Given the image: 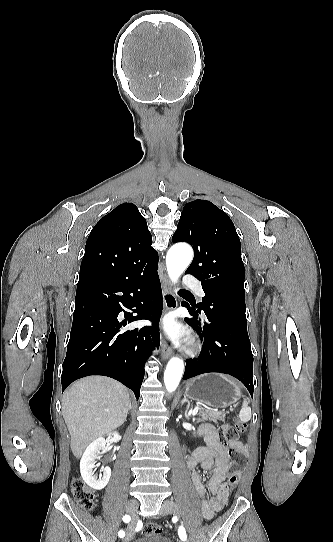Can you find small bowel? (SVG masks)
I'll return each instance as SVG.
<instances>
[{"label": "small bowel", "instance_id": "obj_1", "mask_svg": "<svg viewBox=\"0 0 333 542\" xmlns=\"http://www.w3.org/2000/svg\"><path fill=\"white\" fill-rule=\"evenodd\" d=\"M197 434L204 435L206 446L198 448L187 460V467L192 472V483L196 493L202 499L201 511L206 519H212L216 512L223 509L227 502V491L224 480L229 470V449L246 456L248 447L242 441H236L226 447L223 445L218 434L210 425H202L199 427ZM200 463L202 468L210 473L208 481V490L210 497L205 499L206 487L202 480V475L196 469V465ZM138 529L135 525H130L126 529V537L131 540Z\"/></svg>", "mask_w": 333, "mask_h": 542}]
</instances>
